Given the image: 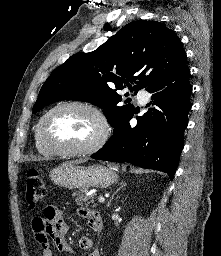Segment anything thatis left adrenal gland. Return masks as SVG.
<instances>
[{
    "mask_svg": "<svg viewBox=\"0 0 221 256\" xmlns=\"http://www.w3.org/2000/svg\"><path fill=\"white\" fill-rule=\"evenodd\" d=\"M126 185H127V184L124 183V182H121V183H120V186H119L118 189L112 194L110 200L108 201L107 207L110 206L112 200L114 199V196H115L123 187H125Z\"/></svg>",
    "mask_w": 221,
    "mask_h": 256,
    "instance_id": "left-adrenal-gland-1",
    "label": "left adrenal gland"
}]
</instances>
